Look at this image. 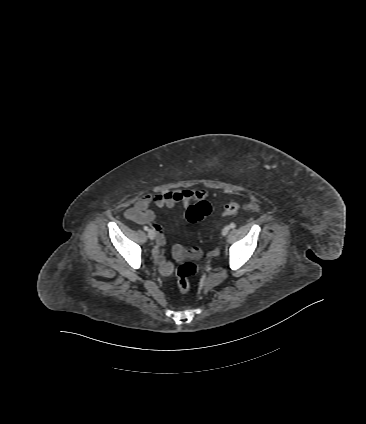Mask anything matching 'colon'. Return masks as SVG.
I'll return each instance as SVG.
<instances>
[{"label": "colon", "mask_w": 366, "mask_h": 424, "mask_svg": "<svg viewBox=\"0 0 366 424\" xmlns=\"http://www.w3.org/2000/svg\"><path fill=\"white\" fill-rule=\"evenodd\" d=\"M240 205L236 202L228 203L222 214L225 216L234 215L238 212ZM211 213V204L208 201H199L196 204L190 205L186 210V218L191 223H196L203 220ZM192 257H198L200 251L194 247L190 251ZM196 265L193 262H184L180 264L176 270L177 287L181 294H187L190 291L189 278L195 274Z\"/></svg>", "instance_id": "5ec220e1"}]
</instances>
